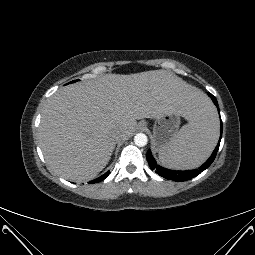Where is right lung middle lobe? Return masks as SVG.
<instances>
[{"mask_svg": "<svg viewBox=\"0 0 255 255\" xmlns=\"http://www.w3.org/2000/svg\"><path fill=\"white\" fill-rule=\"evenodd\" d=\"M77 80H74V81H72V82H70V83H73V82H76Z\"/></svg>", "mask_w": 255, "mask_h": 255, "instance_id": "right-lung-middle-lobe-1", "label": "right lung middle lobe"}]
</instances>
